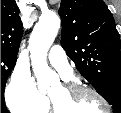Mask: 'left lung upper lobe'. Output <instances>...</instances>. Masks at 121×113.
<instances>
[{
  "label": "left lung upper lobe",
  "mask_w": 121,
  "mask_h": 113,
  "mask_svg": "<svg viewBox=\"0 0 121 113\" xmlns=\"http://www.w3.org/2000/svg\"><path fill=\"white\" fill-rule=\"evenodd\" d=\"M61 45L77 70L121 113L120 36L103 0H61Z\"/></svg>",
  "instance_id": "5c2ea615"
}]
</instances>
